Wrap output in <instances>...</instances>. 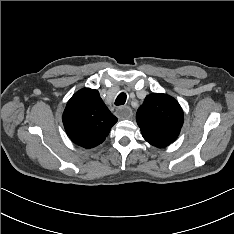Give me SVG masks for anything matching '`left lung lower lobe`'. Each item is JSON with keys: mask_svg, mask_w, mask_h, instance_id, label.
Listing matches in <instances>:
<instances>
[{"mask_svg": "<svg viewBox=\"0 0 234 234\" xmlns=\"http://www.w3.org/2000/svg\"><path fill=\"white\" fill-rule=\"evenodd\" d=\"M170 143H161V144H158L156 147L158 148H163V147H166L168 146Z\"/></svg>", "mask_w": 234, "mask_h": 234, "instance_id": "left-lung-lower-lobe-1", "label": "left lung lower lobe"}]
</instances>
